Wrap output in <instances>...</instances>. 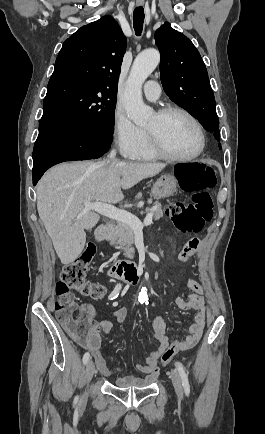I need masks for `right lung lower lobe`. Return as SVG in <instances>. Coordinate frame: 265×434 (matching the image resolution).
I'll list each match as a JSON object with an SVG mask.
<instances>
[{"instance_id": "obj_1", "label": "right lung lower lobe", "mask_w": 265, "mask_h": 434, "mask_svg": "<svg viewBox=\"0 0 265 434\" xmlns=\"http://www.w3.org/2000/svg\"><path fill=\"white\" fill-rule=\"evenodd\" d=\"M112 138L76 127L59 116L43 115L33 149V185L55 164L101 157L109 150Z\"/></svg>"}]
</instances>
